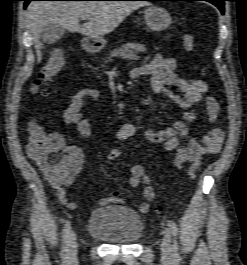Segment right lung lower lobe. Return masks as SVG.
I'll return each mask as SVG.
<instances>
[{
	"mask_svg": "<svg viewBox=\"0 0 247 265\" xmlns=\"http://www.w3.org/2000/svg\"><path fill=\"white\" fill-rule=\"evenodd\" d=\"M25 1V5H24V7L26 8V6L28 5V3L30 2V1H33V0H24Z\"/></svg>",
	"mask_w": 247,
	"mask_h": 265,
	"instance_id": "obj_1",
	"label": "right lung lower lobe"
}]
</instances>
